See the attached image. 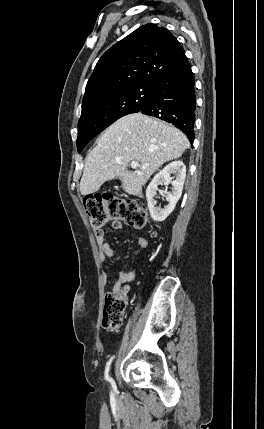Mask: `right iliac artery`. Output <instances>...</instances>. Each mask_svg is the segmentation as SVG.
<instances>
[{
  "mask_svg": "<svg viewBox=\"0 0 264 429\" xmlns=\"http://www.w3.org/2000/svg\"><path fill=\"white\" fill-rule=\"evenodd\" d=\"M113 358H114V356H112L111 359L108 361V363L106 365V369H105V379L109 382H113L112 378L109 375L110 364H111Z\"/></svg>",
  "mask_w": 264,
  "mask_h": 429,
  "instance_id": "1",
  "label": "right iliac artery"
}]
</instances>
